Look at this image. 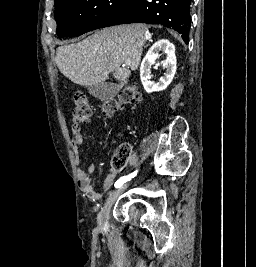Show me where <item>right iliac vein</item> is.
<instances>
[{
  "mask_svg": "<svg viewBox=\"0 0 256 267\" xmlns=\"http://www.w3.org/2000/svg\"><path fill=\"white\" fill-rule=\"evenodd\" d=\"M127 186L128 184H124L123 186H121L110 194L105 205L98 214L99 227L103 228L105 225H107L112 205L115 203L119 195L127 188Z\"/></svg>",
  "mask_w": 256,
  "mask_h": 267,
  "instance_id": "right-iliac-vein-1",
  "label": "right iliac vein"
}]
</instances>
